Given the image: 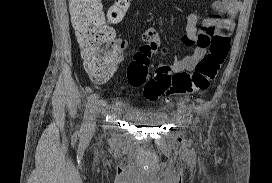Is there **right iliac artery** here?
<instances>
[{
    "instance_id": "82829eb1",
    "label": "right iliac artery",
    "mask_w": 272,
    "mask_h": 183,
    "mask_svg": "<svg viewBox=\"0 0 272 183\" xmlns=\"http://www.w3.org/2000/svg\"><path fill=\"white\" fill-rule=\"evenodd\" d=\"M97 98H98L97 94H92L88 97V102L86 104V109L84 113V121L80 129L81 134H85L87 131V128L91 119V113Z\"/></svg>"
}]
</instances>
